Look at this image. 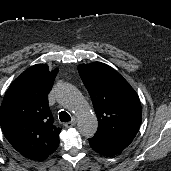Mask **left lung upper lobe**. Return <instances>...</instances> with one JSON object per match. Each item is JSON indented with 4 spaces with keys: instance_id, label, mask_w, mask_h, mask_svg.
<instances>
[{
    "instance_id": "5c2ea615",
    "label": "left lung upper lobe",
    "mask_w": 171,
    "mask_h": 171,
    "mask_svg": "<svg viewBox=\"0 0 171 171\" xmlns=\"http://www.w3.org/2000/svg\"><path fill=\"white\" fill-rule=\"evenodd\" d=\"M78 72L99 122L94 138L125 149L141 124L142 110L137 93L116 70L104 63L81 64Z\"/></svg>"
}]
</instances>
